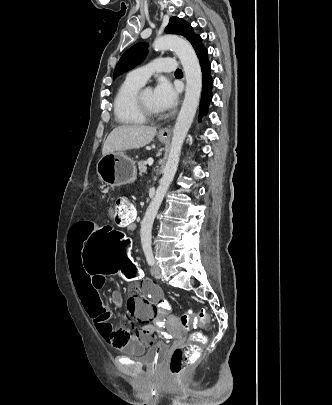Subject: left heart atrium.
<instances>
[{
	"instance_id": "left-heart-atrium-1",
	"label": "left heart atrium",
	"mask_w": 332,
	"mask_h": 405,
	"mask_svg": "<svg viewBox=\"0 0 332 405\" xmlns=\"http://www.w3.org/2000/svg\"><path fill=\"white\" fill-rule=\"evenodd\" d=\"M154 103L159 111L172 109L177 102V91L166 79H160L153 90Z\"/></svg>"
}]
</instances>
